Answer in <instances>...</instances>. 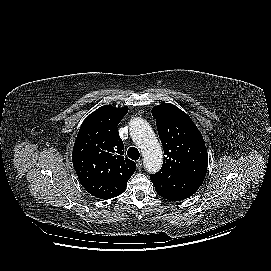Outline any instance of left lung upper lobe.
Segmentation results:
<instances>
[{"instance_id":"1","label":"left lung upper lobe","mask_w":271,"mask_h":271,"mask_svg":"<svg viewBox=\"0 0 271 271\" xmlns=\"http://www.w3.org/2000/svg\"><path fill=\"white\" fill-rule=\"evenodd\" d=\"M163 145V166L150 175L155 187L164 186L172 175H178L200 187L206 175L208 154L203 137L192 119L170 103L152 109Z\"/></svg>"}]
</instances>
